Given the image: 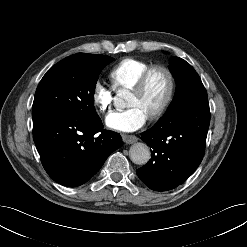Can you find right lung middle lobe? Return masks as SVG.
<instances>
[{"label": "right lung middle lobe", "mask_w": 247, "mask_h": 247, "mask_svg": "<svg viewBox=\"0 0 247 247\" xmlns=\"http://www.w3.org/2000/svg\"><path fill=\"white\" fill-rule=\"evenodd\" d=\"M113 58L99 54L80 53L52 66L40 81L32 118L73 112L84 118L97 117L94 92L101 70Z\"/></svg>", "instance_id": "dd1d6c3e"}]
</instances>
